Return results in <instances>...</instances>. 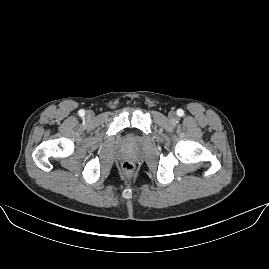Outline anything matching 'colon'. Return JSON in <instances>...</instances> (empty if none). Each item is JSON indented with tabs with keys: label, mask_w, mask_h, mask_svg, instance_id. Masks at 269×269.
Masks as SVG:
<instances>
[{
	"label": "colon",
	"mask_w": 269,
	"mask_h": 269,
	"mask_svg": "<svg viewBox=\"0 0 269 269\" xmlns=\"http://www.w3.org/2000/svg\"><path fill=\"white\" fill-rule=\"evenodd\" d=\"M120 170H121L123 175L130 176L134 173L135 166L131 161H124L121 164Z\"/></svg>",
	"instance_id": "obj_1"
}]
</instances>
